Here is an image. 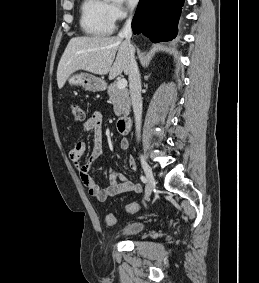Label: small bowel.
I'll use <instances>...</instances> for the list:
<instances>
[{"mask_svg": "<svg viewBox=\"0 0 259 283\" xmlns=\"http://www.w3.org/2000/svg\"><path fill=\"white\" fill-rule=\"evenodd\" d=\"M83 130L92 132L93 134V149L89 157L84 163H81V158L86 150V143L84 141L76 142L69 150V159L76 166L79 177L91 196L95 197L98 201L104 202L108 199L127 192L140 193L142 186L138 182L129 180L124 174L115 172L111 169L107 170V177L109 186L105 189L99 187L94 181L90 168L94 162L101 159L103 147L102 135V116L99 112H94L83 122ZM129 146L128 140L122 138L119 141L121 150H127ZM127 165L131 170L136 169V162L132 156L127 157Z\"/></svg>", "mask_w": 259, "mask_h": 283, "instance_id": "obj_1", "label": "small bowel"}]
</instances>
